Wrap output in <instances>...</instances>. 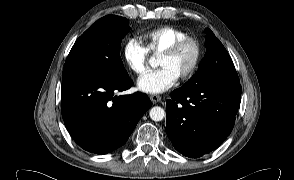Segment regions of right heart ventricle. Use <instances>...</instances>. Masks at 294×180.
<instances>
[{
    "label": "right heart ventricle",
    "mask_w": 294,
    "mask_h": 180,
    "mask_svg": "<svg viewBox=\"0 0 294 180\" xmlns=\"http://www.w3.org/2000/svg\"><path fill=\"white\" fill-rule=\"evenodd\" d=\"M187 36V32L179 28L164 26L142 33L139 39L148 53L159 55L176 40Z\"/></svg>",
    "instance_id": "1"
}]
</instances>
